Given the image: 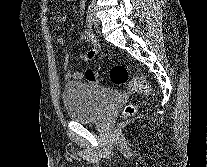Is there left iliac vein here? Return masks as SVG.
<instances>
[{"label": "left iliac vein", "instance_id": "left-iliac-vein-1", "mask_svg": "<svg viewBox=\"0 0 207 167\" xmlns=\"http://www.w3.org/2000/svg\"><path fill=\"white\" fill-rule=\"evenodd\" d=\"M94 21H95V23H96V17H94Z\"/></svg>", "mask_w": 207, "mask_h": 167}]
</instances>
